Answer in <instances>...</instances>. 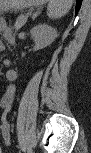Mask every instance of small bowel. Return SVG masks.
<instances>
[{
    "label": "small bowel",
    "instance_id": "obj_1",
    "mask_svg": "<svg viewBox=\"0 0 91 153\" xmlns=\"http://www.w3.org/2000/svg\"><path fill=\"white\" fill-rule=\"evenodd\" d=\"M13 100H14V88L10 86L3 94L0 100V106L4 113V117L1 119L0 123V131L2 138L6 143L10 142V136H11L10 126L7 122L6 114L10 111Z\"/></svg>",
    "mask_w": 91,
    "mask_h": 153
}]
</instances>
